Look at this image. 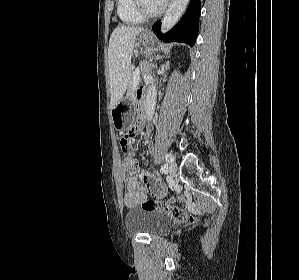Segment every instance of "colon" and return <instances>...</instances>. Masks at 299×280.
Here are the masks:
<instances>
[{"label": "colon", "instance_id": "colon-1", "mask_svg": "<svg viewBox=\"0 0 299 280\" xmlns=\"http://www.w3.org/2000/svg\"><path fill=\"white\" fill-rule=\"evenodd\" d=\"M133 136L134 132L130 129L123 133L120 138V145L123 153L125 154L122 166V177L124 179L130 177L138 167L137 161L131 155L130 142ZM141 207L143 210H157L168 213L180 223H192L195 220V217L184 209L163 201L147 200L141 205Z\"/></svg>", "mask_w": 299, "mask_h": 280}]
</instances>
